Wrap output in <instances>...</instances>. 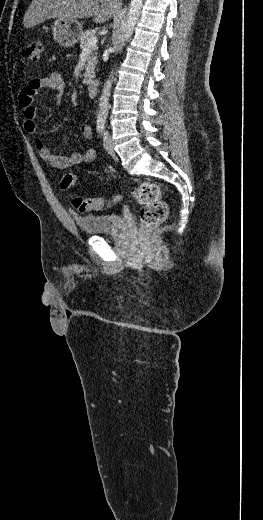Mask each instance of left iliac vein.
<instances>
[{
    "label": "left iliac vein",
    "instance_id": "4c4485c4",
    "mask_svg": "<svg viewBox=\"0 0 263 520\" xmlns=\"http://www.w3.org/2000/svg\"><path fill=\"white\" fill-rule=\"evenodd\" d=\"M103 144H104V148L110 155H115V150H114L112 140H111V137H110L108 131L104 132Z\"/></svg>",
    "mask_w": 263,
    "mask_h": 520
}]
</instances>
